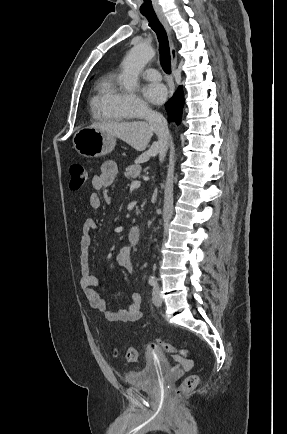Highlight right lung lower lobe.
<instances>
[{"instance_id": "right-lung-lower-lobe-1", "label": "right lung lower lobe", "mask_w": 287, "mask_h": 434, "mask_svg": "<svg viewBox=\"0 0 287 434\" xmlns=\"http://www.w3.org/2000/svg\"><path fill=\"white\" fill-rule=\"evenodd\" d=\"M184 95L182 86H179L175 94L165 104L168 113V120L174 121L177 125L181 122Z\"/></svg>"}]
</instances>
